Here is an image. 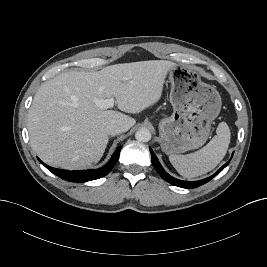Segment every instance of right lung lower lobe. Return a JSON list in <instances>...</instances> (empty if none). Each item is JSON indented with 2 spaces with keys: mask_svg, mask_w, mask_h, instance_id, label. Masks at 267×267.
Segmentation results:
<instances>
[{
  "mask_svg": "<svg viewBox=\"0 0 267 267\" xmlns=\"http://www.w3.org/2000/svg\"><path fill=\"white\" fill-rule=\"evenodd\" d=\"M122 147H119L115 153L113 154L112 158L109 162L99 169L94 170H85V171H68V170H61L57 168L50 167L44 164L39 158L38 160L52 173L57 175L58 177L62 178L63 180L69 182H86L90 180L99 179L107 175L111 169L115 166L116 162L119 159L120 150Z\"/></svg>",
  "mask_w": 267,
  "mask_h": 267,
  "instance_id": "right-lung-lower-lobe-1",
  "label": "right lung lower lobe"
}]
</instances>
